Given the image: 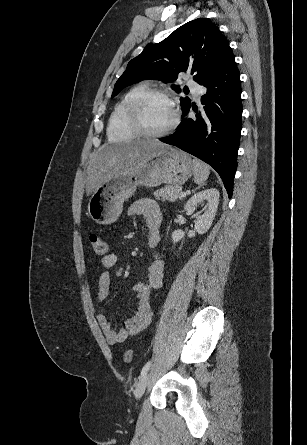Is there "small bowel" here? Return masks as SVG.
Wrapping results in <instances>:
<instances>
[{
  "label": "small bowel",
  "instance_id": "obj_1",
  "mask_svg": "<svg viewBox=\"0 0 307 445\" xmlns=\"http://www.w3.org/2000/svg\"><path fill=\"white\" fill-rule=\"evenodd\" d=\"M130 216H143L145 226L148 231V246L155 248L160 240V227L162 215L159 205L152 199H140L134 202L128 209ZM117 262V256L109 254L101 259L103 271L97 278L96 301L104 303L110 291L111 276L109 269ZM164 263L162 259L155 255L149 268L147 281L139 282L133 287V292L137 299V307L133 315L129 317L124 326L115 329L104 314L97 316V321L109 344L122 343L129 337L135 336L145 329L152 317L150 306V295L155 289H159L163 284Z\"/></svg>",
  "mask_w": 307,
  "mask_h": 445
}]
</instances>
